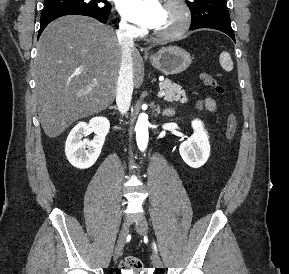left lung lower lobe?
<instances>
[{"instance_id": "0a47b994", "label": "left lung lower lobe", "mask_w": 289, "mask_h": 274, "mask_svg": "<svg viewBox=\"0 0 289 274\" xmlns=\"http://www.w3.org/2000/svg\"><path fill=\"white\" fill-rule=\"evenodd\" d=\"M199 28H212V29H216L219 31H222L226 34H228L234 41H235V37H234V32L232 30L231 25H222V24H217V25H201L198 27H191V30H195V29H199Z\"/></svg>"}]
</instances>
